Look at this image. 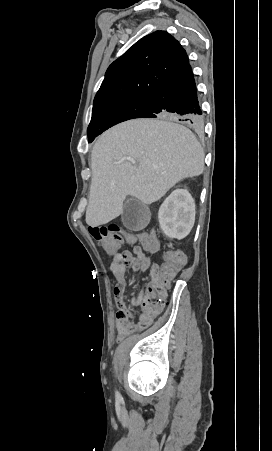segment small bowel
Segmentation results:
<instances>
[{
	"label": "small bowel",
	"mask_w": 272,
	"mask_h": 451,
	"mask_svg": "<svg viewBox=\"0 0 272 451\" xmlns=\"http://www.w3.org/2000/svg\"><path fill=\"white\" fill-rule=\"evenodd\" d=\"M128 252V251H126ZM132 252H138L139 256H147L148 261L152 263V257L150 254V249H142L139 244H136L132 248ZM111 265H109L110 270ZM116 278V283L113 288V293L115 296V301L117 304V311L115 314V328L118 332V334H121V327H122V318L121 313L122 311H128L126 305H125V288L127 285L126 280V274H113ZM138 299L133 298L132 304H137ZM146 313H143L140 318L142 319L145 316ZM128 336V335H127Z\"/></svg>",
	"instance_id": "1"
}]
</instances>
